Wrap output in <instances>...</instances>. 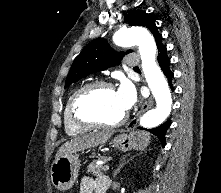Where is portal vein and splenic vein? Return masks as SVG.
<instances>
[{
	"label": "portal vein and splenic vein",
	"mask_w": 221,
	"mask_h": 193,
	"mask_svg": "<svg viewBox=\"0 0 221 193\" xmlns=\"http://www.w3.org/2000/svg\"><path fill=\"white\" fill-rule=\"evenodd\" d=\"M109 168H110L109 165H105L104 168H103V170H104V171H108Z\"/></svg>",
	"instance_id": "1"
}]
</instances>
